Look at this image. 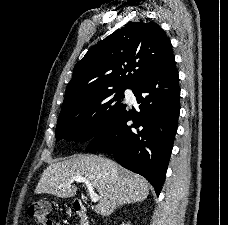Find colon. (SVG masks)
<instances>
[{
	"mask_svg": "<svg viewBox=\"0 0 228 225\" xmlns=\"http://www.w3.org/2000/svg\"><path fill=\"white\" fill-rule=\"evenodd\" d=\"M36 225H56L50 219V203L45 200L30 202L26 210Z\"/></svg>",
	"mask_w": 228,
	"mask_h": 225,
	"instance_id": "5ec220e1",
	"label": "colon"
}]
</instances>
